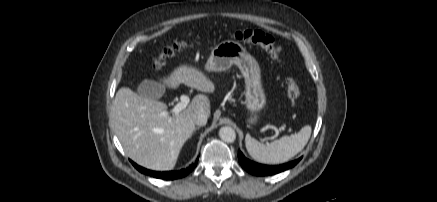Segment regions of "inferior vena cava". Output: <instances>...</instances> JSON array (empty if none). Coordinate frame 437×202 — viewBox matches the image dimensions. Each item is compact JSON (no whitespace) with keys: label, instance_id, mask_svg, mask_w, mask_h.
Here are the masks:
<instances>
[{"label":"inferior vena cava","instance_id":"inferior-vena-cava-1","mask_svg":"<svg viewBox=\"0 0 437 202\" xmlns=\"http://www.w3.org/2000/svg\"><path fill=\"white\" fill-rule=\"evenodd\" d=\"M207 120H208V115L205 112H199L196 115L194 122L198 126H204V125H206Z\"/></svg>","mask_w":437,"mask_h":202}]
</instances>
